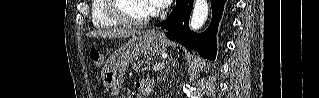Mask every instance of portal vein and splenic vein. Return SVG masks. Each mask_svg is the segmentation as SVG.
Segmentation results:
<instances>
[{
    "mask_svg": "<svg viewBox=\"0 0 319 98\" xmlns=\"http://www.w3.org/2000/svg\"><path fill=\"white\" fill-rule=\"evenodd\" d=\"M165 68V65L163 64V63H158V64H156L154 67H153V70H155V71H160V70H162V69H164Z\"/></svg>",
    "mask_w": 319,
    "mask_h": 98,
    "instance_id": "18ae733b",
    "label": "portal vein and splenic vein"
}]
</instances>
